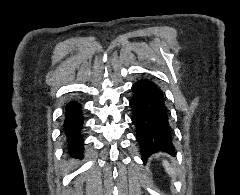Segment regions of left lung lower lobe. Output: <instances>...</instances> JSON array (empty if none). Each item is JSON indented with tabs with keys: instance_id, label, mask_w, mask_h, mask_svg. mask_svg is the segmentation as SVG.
Returning <instances> with one entry per match:
<instances>
[{
	"instance_id": "obj_1",
	"label": "left lung lower lobe",
	"mask_w": 240,
	"mask_h": 195,
	"mask_svg": "<svg viewBox=\"0 0 240 195\" xmlns=\"http://www.w3.org/2000/svg\"><path fill=\"white\" fill-rule=\"evenodd\" d=\"M131 91L129 105L143 160L158 151L173 155L175 150L162 90L151 78L144 76L132 85Z\"/></svg>"
}]
</instances>
